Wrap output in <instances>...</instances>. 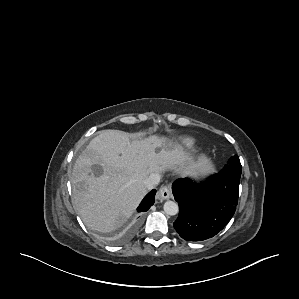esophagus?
<instances>
[{
  "label": "esophagus",
  "instance_id": "1",
  "mask_svg": "<svg viewBox=\"0 0 299 299\" xmlns=\"http://www.w3.org/2000/svg\"><path fill=\"white\" fill-rule=\"evenodd\" d=\"M172 197V192L170 185L162 186L157 192L156 199L159 201H164Z\"/></svg>",
  "mask_w": 299,
  "mask_h": 299
}]
</instances>
